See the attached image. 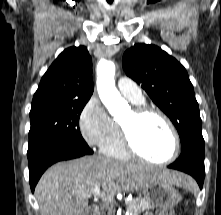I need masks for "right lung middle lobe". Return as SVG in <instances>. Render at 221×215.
<instances>
[{
    "instance_id": "dd1d6c3e",
    "label": "right lung middle lobe",
    "mask_w": 221,
    "mask_h": 215,
    "mask_svg": "<svg viewBox=\"0 0 221 215\" xmlns=\"http://www.w3.org/2000/svg\"><path fill=\"white\" fill-rule=\"evenodd\" d=\"M86 101H48L32 105L27 155L55 142L85 144L80 129V114Z\"/></svg>"
}]
</instances>
